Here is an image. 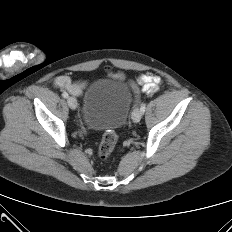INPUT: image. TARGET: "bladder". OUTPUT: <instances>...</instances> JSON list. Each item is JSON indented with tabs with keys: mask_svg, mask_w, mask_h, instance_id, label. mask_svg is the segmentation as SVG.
Here are the masks:
<instances>
[{
	"mask_svg": "<svg viewBox=\"0 0 232 232\" xmlns=\"http://www.w3.org/2000/svg\"><path fill=\"white\" fill-rule=\"evenodd\" d=\"M130 105L131 91L124 82L111 79L95 81L83 97L84 123L95 130L119 128L127 120Z\"/></svg>",
	"mask_w": 232,
	"mask_h": 232,
	"instance_id": "1",
	"label": "bladder"
}]
</instances>
